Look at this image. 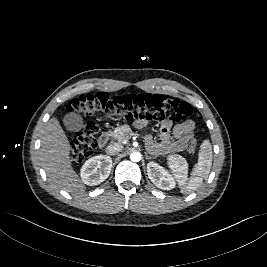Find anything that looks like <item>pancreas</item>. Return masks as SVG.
<instances>
[{
  "label": "pancreas",
  "instance_id": "cf45deb5",
  "mask_svg": "<svg viewBox=\"0 0 267 267\" xmlns=\"http://www.w3.org/2000/svg\"><path fill=\"white\" fill-rule=\"evenodd\" d=\"M109 135L117 140L118 142H123L128 140V138L133 135L131 128L128 125H123L117 127L113 131H109Z\"/></svg>",
  "mask_w": 267,
  "mask_h": 267
}]
</instances>
